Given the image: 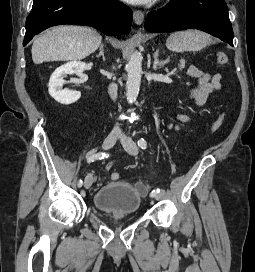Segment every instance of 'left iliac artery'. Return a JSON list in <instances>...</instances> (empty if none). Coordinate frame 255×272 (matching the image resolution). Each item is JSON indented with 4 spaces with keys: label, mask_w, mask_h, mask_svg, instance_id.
<instances>
[{
    "label": "left iliac artery",
    "mask_w": 255,
    "mask_h": 272,
    "mask_svg": "<svg viewBox=\"0 0 255 272\" xmlns=\"http://www.w3.org/2000/svg\"><path fill=\"white\" fill-rule=\"evenodd\" d=\"M138 146L141 148V149H146V146H147V143L146 141L144 140V138H141L138 140ZM160 192V189L157 188L156 190H153L150 194L151 197H154L157 193Z\"/></svg>",
    "instance_id": "1"
}]
</instances>
